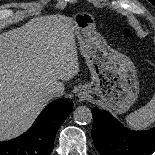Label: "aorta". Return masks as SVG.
I'll return each instance as SVG.
<instances>
[{
  "instance_id": "762f6f07",
  "label": "aorta",
  "mask_w": 155,
  "mask_h": 155,
  "mask_svg": "<svg viewBox=\"0 0 155 155\" xmlns=\"http://www.w3.org/2000/svg\"><path fill=\"white\" fill-rule=\"evenodd\" d=\"M74 121L78 124H88L92 121L91 110L86 106H79L73 113Z\"/></svg>"
}]
</instances>
